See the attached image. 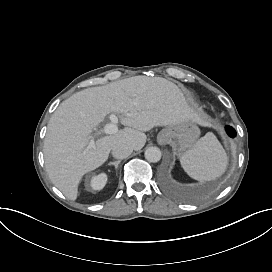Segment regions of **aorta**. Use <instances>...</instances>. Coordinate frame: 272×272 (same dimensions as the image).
I'll use <instances>...</instances> for the list:
<instances>
[{
    "instance_id": "obj_1",
    "label": "aorta",
    "mask_w": 272,
    "mask_h": 272,
    "mask_svg": "<svg viewBox=\"0 0 272 272\" xmlns=\"http://www.w3.org/2000/svg\"><path fill=\"white\" fill-rule=\"evenodd\" d=\"M162 153L157 147H150L145 151V158L150 163H157L161 160Z\"/></svg>"
}]
</instances>
